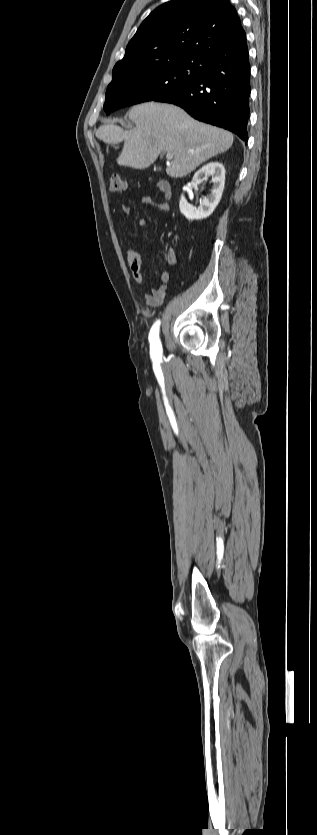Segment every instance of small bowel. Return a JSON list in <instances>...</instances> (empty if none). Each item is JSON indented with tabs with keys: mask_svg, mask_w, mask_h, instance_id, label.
I'll return each mask as SVG.
<instances>
[{
	"mask_svg": "<svg viewBox=\"0 0 317 835\" xmlns=\"http://www.w3.org/2000/svg\"><path fill=\"white\" fill-rule=\"evenodd\" d=\"M156 187L158 192L163 195L165 200H169L171 198V190L167 189L166 182H159ZM142 203L157 207L158 209L165 212H168L170 210V206L167 203L155 202L150 196H144L142 198ZM123 210L127 215L130 212L128 207H124ZM147 225L148 221L145 218H141L138 221V227L140 229L145 228ZM165 260L168 267H173L178 263V257L173 249H169L166 252ZM127 263L132 272L135 282L139 286H144L145 281L141 272L142 256L141 251L137 247L130 248L127 251ZM169 281L170 273L166 269L161 274L159 286L153 288L150 292L145 294L146 304L149 308L159 307L163 303L166 297Z\"/></svg>",
	"mask_w": 317,
	"mask_h": 835,
	"instance_id": "1",
	"label": "small bowel"
}]
</instances>
